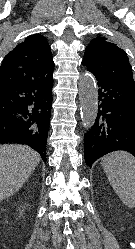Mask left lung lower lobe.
Masks as SVG:
<instances>
[{"label": "left lung lower lobe", "mask_w": 135, "mask_h": 249, "mask_svg": "<svg viewBox=\"0 0 135 249\" xmlns=\"http://www.w3.org/2000/svg\"><path fill=\"white\" fill-rule=\"evenodd\" d=\"M95 78L98 112L94 125L84 135L85 161L90 167L113 151L125 150L135 156V86Z\"/></svg>", "instance_id": "1"}]
</instances>
